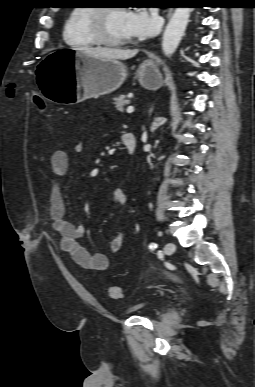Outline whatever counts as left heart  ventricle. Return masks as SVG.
Listing matches in <instances>:
<instances>
[{"label": "left heart ventricle", "instance_id": "obj_1", "mask_svg": "<svg viewBox=\"0 0 255 387\" xmlns=\"http://www.w3.org/2000/svg\"><path fill=\"white\" fill-rule=\"evenodd\" d=\"M126 11L123 9H114L110 11L106 19L108 34L115 39H128L129 36L125 27Z\"/></svg>", "mask_w": 255, "mask_h": 387}]
</instances>
